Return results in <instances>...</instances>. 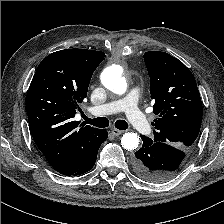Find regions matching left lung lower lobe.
<instances>
[{
  "instance_id": "left-lung-lower-lobe-1",
  "label": "left lung lower lobe",
  "mask_w": 224,
  "mask_h": 224,
  "mask_svg": "<svg viewBox=\"0 0 224 224\" xmlns=\"http://www.w3.org/2000/svg\"><path fill=\"white\" fill-rule=\"evenodd\" d=\"M142 147L135 152L133 167L136 174L150 182L160 183L170 180L171 172L180 170L187 159V153L162 142H153L141 136Z\"/></svg>"
}]
</instances>
